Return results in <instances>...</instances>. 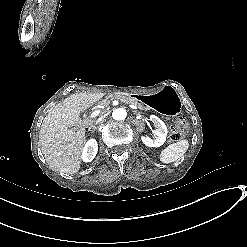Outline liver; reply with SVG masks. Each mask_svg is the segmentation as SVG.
Here are the masks:
<instances>
[{"label": "liver", "mask_w": 247, "mask_h": 247, "mask_svg": "<svg viewBox=\"0 0 247 247\" xmlns=\"http://www.w3.org/2000/svg\"><path fill=\"white\" fill-rule=\"evenodd\" d=\"M104 96V93H76L58 103L43 119L39 143L49 167L67 177L79 171L86 143L85 126H77L80 113Z\"/></svg>", "instance_id": "liver-1"}]
</instances>
